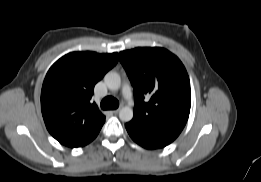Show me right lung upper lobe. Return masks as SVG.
<instances>
[{
  "label": "right lung upper lobe",
  "instance_id": "right-lung-upper-lobe-1",
  "mask_svg": "<svg viewBox=\"0 0 261 182\" xmlns=\"http://www.w3.org/2000/svg\"><path fill=\"white\" fill-rule=\"evenodd\" d=\"M118 62V53L72 52L49 69L41 91V110L49 133L74 148L90 143L105 116L90 99L95 84Z\"/></svg>",
  "mask_w": 261,
  "mask_h": 182
}]
</instances>
